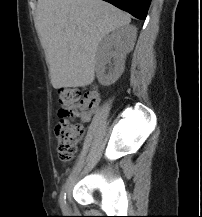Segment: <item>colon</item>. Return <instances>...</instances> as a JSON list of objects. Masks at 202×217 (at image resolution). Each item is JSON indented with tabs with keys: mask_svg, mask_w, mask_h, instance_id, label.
<instances>
[{
	"mask_svg": "<svg viewBox=\"0 0 202 217\" xmlns=\"http://www.w3.org/2000/svg\"><path fill=\"white\" fill-rule=\"evenodd\" d=\"M89 94L77 89L62 88L58 92L59 120L55 126L57 151L63 162L73 159L77 145L84 136L82 125L72 122V111L76 106L89 102Z\"/></svg>",
	"mask_w": 202,
	"mask_h": 217,
	"instance_id": "colon-1",
	"label": "colon"
}]
</instances>
